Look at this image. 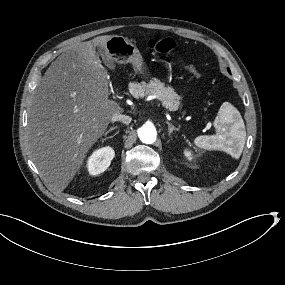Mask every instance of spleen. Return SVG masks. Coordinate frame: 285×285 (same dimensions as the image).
<instances>
[{
	"label": "spleen",
	"instance_id": "obj_1",
	"mask_svg": "<svg viewBox=\"0 0 285 285\" xmlns=\"http://www.w3.org/2000/svg\"><path fill=\"white\" fill-rule=\"evenodd\" d=\"M226 114H227V111L223 112L222 114L217 115L215 121L213 122V126L215 130H216L215 123L217 122L218 118H221L222 116H226ZM225 135L230 136L232 140L236 139V143L234 144V147L235 146L239 147V153L233 154L232 158L234 160H238L242 152V149L244 147V143H245V130L243 128L235 129L233 132L223 134L221 137H218L216 134L215 135H199L193 139V144L194 146L202 150H208V151L222 150L224 151L225 150V147H224L225 145L224 136ZM234 147L230 148L229 151L232 152Z\"/></svg>",
	"mask_w": 285,
	"mask_h": 285
}]
</instances>
